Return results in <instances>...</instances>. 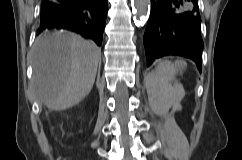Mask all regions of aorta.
I'll return each instance as SVG.
<instances>
[{
  "label": "aorta",
  "instance_id": "1",
  "mask_svg": "<svg viewBox=\"0 0 242 160\" xmlns=\"http://www.w3.org/2000/svg\"><path fill=\"white\" fill-rule=\"evenodd\" d=\"M133 7L138 20L148 16L150 11V0H133Z\"/></svg>",
  "mask_w": 242,
  "mask_h": 160
}]
</instances>
